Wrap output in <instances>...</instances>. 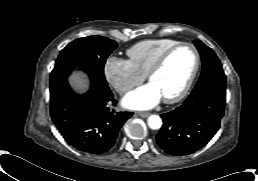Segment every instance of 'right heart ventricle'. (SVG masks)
I'll list each match as a JSON object with an SVG mask.
<instances>
[{"mask_svg":"<svg viewBox=\"0 0 258 181\" xmlns=\"http://www.w3.org/2000/svg\"><path fill=\"white\" fill-rule=\"evenodd\" d=\"M179 41L169 38L140 41L127 50L128 61L140 74L147 76L158 57Z\"/></svg>","mask_w":258,"mask_h":181,"instance_id":"e07e8e85","label":"right heart ventricle"}]
</instances>
